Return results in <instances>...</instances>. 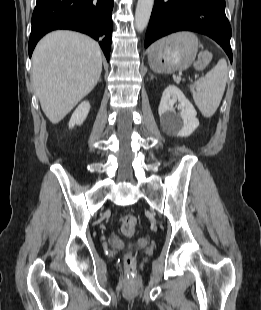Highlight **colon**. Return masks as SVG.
I'll list each match as a JSON object with an SVG mask.
<instances>
[{
  "label": "colon",
  "instance_id": "colon-1",
  "mask_svg": "<svg viewBox=\"0 0 261 310\" xmlns=\"http://www.w3.org/2000/svg\"><path fill=\"white\" fill-rule=\"evenodd\" d=\"M212 61V54L210 52H202L200 53L198 60L196 62V68L198 70H202L206 68L210 62ZM137 226V218L134 215L127 214L122 217L121 219V231L122 233L127 236L131 237L136 229ZM125 264L128 267H132L135 264V258L131 254H126L125 256Z\"/></svg>",
  "mask_w": 261,
  "mask_h": 310
}]
</instances>
